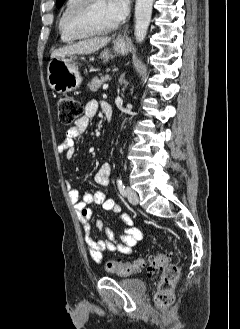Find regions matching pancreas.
Wrapping results in <instances>:
<instances>
[{"label":"pancreas","mask_w":240,"mask_h":329,"mask_svg":"<svg viewBox=\"0 0 240 329\" xmlns=\"http://www.w3.org/2000/svg\"><path fill=\"white\" fill-rule=\"evenodd\" d=\"M109 79V76L108 75H104L102 76L100 79L97 78V77H94L91 81V83L88 84L89 88L91 91L95 92L97 91L101 85Z\"/></svg>","instance_id":"pancreas-1"}]
</instances>
